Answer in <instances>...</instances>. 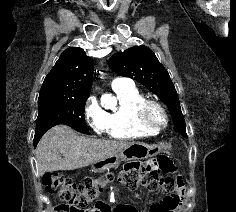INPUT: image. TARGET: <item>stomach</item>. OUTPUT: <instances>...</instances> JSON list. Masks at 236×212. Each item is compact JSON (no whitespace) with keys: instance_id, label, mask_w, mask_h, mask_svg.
<instances>
[{"instance_id":"1","label":"stomach","mask_w":236,"mask_h":212,"mask_svg":"<svg viewBox=\"0 0 236 212\" xmlns=\"http://www.w3.org/2000/svg\"><path fill=\"white\" fill-rule=\"evenodd\" d=\"M160 147L145 143H134L116 155H112L104 160L96 162L92 166V171L103 172L111 168H116L122 161L143 160L151 158L160 153Z\"/></svg>"}]
</instances>
